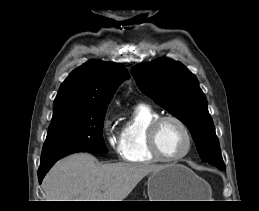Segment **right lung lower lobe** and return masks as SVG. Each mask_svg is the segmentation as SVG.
Returning a JSON list of instances; mask_svg holds the SVG:
<instances>
[{
  "label": "right lung lower lobe",
  "mask_w": 259,
  "mask_h": 211,
  "mask_svg": "<svg viewBox=\"0 0 259 211\" xmlns=\"http://www.w3.org/2000/svg\"><path fill=\"white\" fill-rule=\"evenodd\" d=\"M71 154V153H70ZM68 154H62V155H59L53 159H50L44 163H40V168H39V171H38V178H39V182L41 183L45 174L47 173V171L53 166V164L59 160L60 158L66 156Z\"/></svg>",
  "instance_id": "98d812e1"
}]
</instances>
